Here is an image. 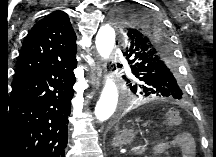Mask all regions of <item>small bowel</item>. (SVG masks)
<instances>
[{"instance_id": "small-bowel-1", "label": "small bowel", "mask_w": 216, "mask_h": 157, "mask_svg": "<svg viewBox=\"0 0 216 157\" xmlns=\"http://www.w3.org/2000/svg\"><path fill=\"white\" fill-rule=\"evenodd\" d=\"M171 145L179 148L183 157H194L195 155V143L189 133L181 132L177 134Z\"/></svg>"}]
</instances>
